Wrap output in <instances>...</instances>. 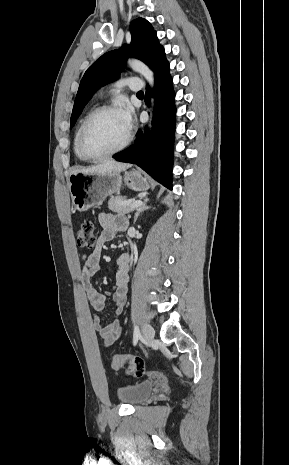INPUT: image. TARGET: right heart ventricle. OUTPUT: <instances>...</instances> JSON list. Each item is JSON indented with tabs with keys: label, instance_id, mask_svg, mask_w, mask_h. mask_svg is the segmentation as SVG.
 Returning <instances> with one entry per match:
<instances>
[{
	"label": "right heart ventricle",
	"instance_id": "e07e8e85",
	"mask_svg": "<svg viewBox=\"0 0 289 465\" xmlns=\"http://www.w3.org/2000/svg\"><path fill=\"white\" fill-rule=\"evenodd\" d=\"M91 110H87L83 115L82 117L80 118L77 126H76V129H75V132H74V137H73V149H74V153L76 155V157L80 160V161H87L86 159H84L79 151V136H80V131H81V128H82V125H83V122L85 121L86 117L90 114Z\"/></svg>",
	"mask_w": 289,
	"mask_h": 465
}]
</instances>
